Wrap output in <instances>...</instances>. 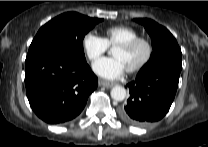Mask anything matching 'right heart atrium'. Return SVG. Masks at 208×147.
Returning a JSON list of instances; mask_svg holds the SVG:
<instances>
[{"mask_svg":"<svg viewBox=\"0 0 208 147\" xmlns=\"http://www.w3.org/2000/svg\"><path fill=\"white\" fill-rule=\"evenodd\" d=\"M82 46L85 54L91 61L97 60L108 49L106 40L94 32H88L84 35L82 39Z\"/></svg>","mask_w":208,"mask_h":147,"instance_id":"1","label":"right heart atrium"}]
</instances>
